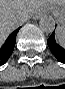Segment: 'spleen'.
Returning <instances> with one entry per match:
<instances>
[{
    "mask_svg": "<svg viewBox=\"0 0 65 89\" xmlns=\"http://www.w3.org/2000/svg\"><path fill=\"white\" fill-rule=\"evenodd\" d=\"M56 37L58 40V43L64 47L65 46V30L63 27H59L56 31Z\"/></svg>",
    "mask_w": 65,
    "mask_h": 89,
    "instance_id": "spleen-1",
    "label": "spleen"
}]
</instances>
